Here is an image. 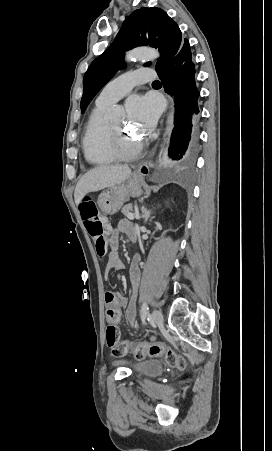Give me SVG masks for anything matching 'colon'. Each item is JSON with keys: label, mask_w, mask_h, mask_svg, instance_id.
<instances>
[{"label": "colon", "mask_w": 272, "mask_h": 451, "mask_svg": "<svg viewBox=\"0 0 272 451\" xmlns=\"http://www.w3.org/2000/svg\"><path fill=\"white\" fill-rule=\"evenodd\" d=\"M81 216L86 228L94 240L95 251L99 258H104L108 253V232L103 230L101 213L98 205L92 201H83L80 205ZM106 344L112 356H121L131 351L136 359H141L140 354H163V358L174 368L182 369L184 362L182 357L175 353L169 346L154 345L153 342H129L128 339H118V329L112 323H107L105 328Z\"/></svg>", "instance_id": "5ec220e1"}]
</instances>
